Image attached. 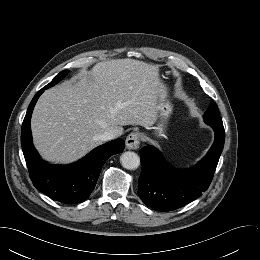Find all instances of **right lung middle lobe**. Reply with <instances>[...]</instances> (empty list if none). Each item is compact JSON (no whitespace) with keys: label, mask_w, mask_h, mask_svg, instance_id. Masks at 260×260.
<instances>
[{"label":"right lung middle lobe","mask_w":260,"mask_h":260,"mask_svg":"<svg viewBox=\"0 0 260 260\" xmlns=\"http://www.w3.org/2000/svg\"><path fill=\"white\" fill-rule=\"evenodd\" d=\"M68 72H69L68 70L60 72L48 85L45 86V88L47 89L54 86L56 83L60 81V79H62L65 75H67Z\"/></svg>","instance_id":"dd1d6c3e"}]
</instances>
